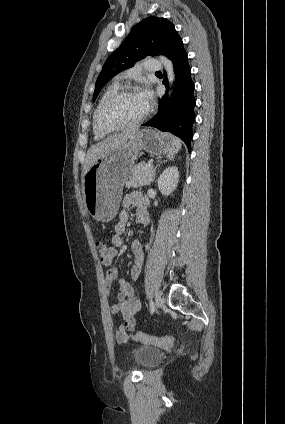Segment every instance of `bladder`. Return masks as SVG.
I'll return each instance as SVG.
<instances>
[{
    "mask_svg": "<svg viewBox=\"0 0 285 424\" xmlns=\"http://www.w3.org/2000/svg\"><path fill=\"white\" fill-rule=\"evenodd\" d=\"M163 357L161 350L150 346H138L132 350V359L144 368L157 365Z\"/></svg>",
    "mask_w": 285,
    "mask_h": 424,
    "instance_id": "obj_1",
    "label": "bladder"
}]
</instances>
